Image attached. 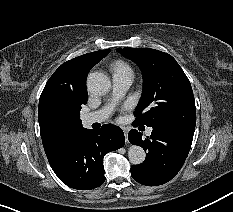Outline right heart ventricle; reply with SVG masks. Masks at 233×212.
<instances>
[{
  "label": "right heart ventricle",
  "instance_id": "e07e8e85",
  "mask_svg": "<svg viewBox=\"0 0 233 212\" xmlns=\"http://www.w3.org/2000/svg\"><path fill=\"white\" fill-rule=\"evenodd\" d=\"M112 71L114 72V74H120V73L132 74V70H131L130 66L122 60H117V61L113 62Z\"/></svg>",
  "mask_w": 233,
  "mask_h": 212
}]
</instances>
